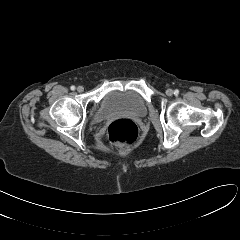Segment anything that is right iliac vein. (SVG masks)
Instances as JSON below:
<instances>
[{
    "label": "right iliac vein",
    "instance_id": "right-iliac-vein-1",
    "mask_svg": "<svg viewBox=\"0 0 240 240\" xmlns=\"http://www.w3.org/2000/svg\"><path fill=\"white\" fill-rule=\"evenodd\" d=\"M77 91H78L79 93L83 92V91H84V87H83V86H78V87H77Z\"/></svg>",
    "mask_w": 240,
    "mask_h": 240
}]
</instances>
